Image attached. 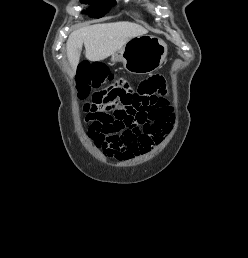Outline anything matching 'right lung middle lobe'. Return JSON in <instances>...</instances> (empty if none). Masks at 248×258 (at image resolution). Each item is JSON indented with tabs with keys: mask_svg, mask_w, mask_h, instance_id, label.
Returning <instances> with one entry per match:
<instances>
[{
	"mask_svg": "<svg viewBox=\"0 0 248 258\" xmlns=\"http://www.w3.org/2000/svg\"><path fill=\"white\" fill-rule=\"evenodd\" d=\"M81 2L92 4V7L87 9L86 12L97 18L104 16L116 4L115 0H81Z\"/></svg>",
	"mask_w": 248,
	"mask_h": 258,
	"instance_id": "1",
	"label": "right lung middle lobe"
}]
</instances>
